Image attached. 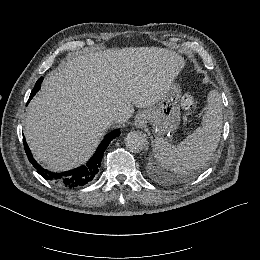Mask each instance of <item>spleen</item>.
Listing matches in <instances>:
<instances>
[{
	"mask_svg": "<svg viewBox=\"0 0 260 260\" xmlns=\"http://www.w3.org/2000/svg\"><path fill=\"white\" fill-rule=\"evenodd\" d=\"M222 103L216 90L207 95V107L201 125L187 135L183 141L171 146L164 138L155 139L156 158L166 168L176 173L197 169L212 156L218 146L222 131Z\"/></svg>",
	"mask_w": 260,
	"mask_h": 260,
	"instance_id": "3e777b00",
	"label": "spleen"
}]
</instances>
